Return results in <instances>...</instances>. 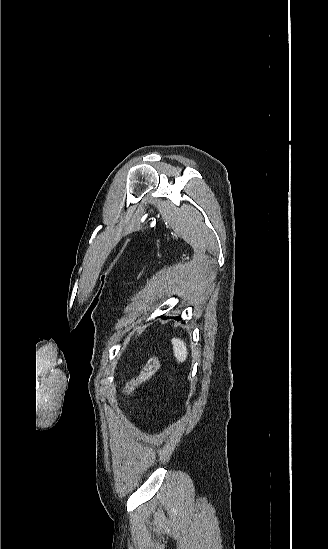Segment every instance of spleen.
Listing matches in <instances>:
<instances>
[{
  "instance_id": "obj_1",
  "label": "spleen",
  "mask_w": 328,
  "mask_h": 549,
  "mask_svg": "<svg viewBox=\"0 0 328 549\" xmlns=\"http://www.w3.org/2000/svg\"><path fill=\"white\" fill-rule=\"evenodd\" d=\"M171 343L173 345L174 357H176L179 363H184L188 355L186 343H184V341H181V339H172Z\"/></svg>"
}]
</instances>
